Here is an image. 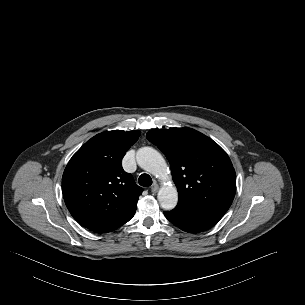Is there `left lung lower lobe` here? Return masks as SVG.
I'll return each mask as SVG.
<instances>
[{"label": "left lung lower lobe", "mask_w": 305, "mask_h": 305, "mask_svg": "<svg viewBox=\"0 0 305 305\" xmlns=\"http://www.w3.org/2000/svg\"><path fill=\"white\" fill-rule=\"evenodd\" d=\"M226 211L224 209L190 211L175 208L172 211H165L164 215L180 229L190 233H199L213 227Z\"/></svg>", "instance_id": "left-lung-lower-lobe-1"}]
</instances>
